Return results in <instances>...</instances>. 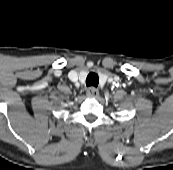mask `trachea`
<instances>
[{"label": "trachea", "mask_w": 173, "mask_h": 170, "mask_svg": "<svg viewBox=\"0 0 173 170\" xmlns=\"http://www.w3.org/2000/svg\"><path fill=\"white\" fill-rule=\"evenodd\" d=\"M98 83H99V77L96 73H89L87 78H86V86L89 87V86H94V87H97L98 86Z\"/></svg>", "instance_id": "1"}]
</instances>
